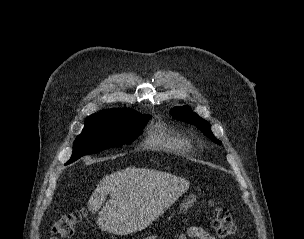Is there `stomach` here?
<instances>
[{
  "label": "stomach",
  "instance_id": "1",
  "mask_svg": "<svg viewBox=\"0 0 304 239\" xmlns=\"http://www.w3.org/2000/svg\"><path fill=\"white\" fill-rule=\"evenodd\" d=\"M197 196L195 194H191L184 198L182 203L179 206L180 212H186L196 201Z\"/></svg>",
  "mask_w": 304,
  "mask_h": 239
}]
</instances>
